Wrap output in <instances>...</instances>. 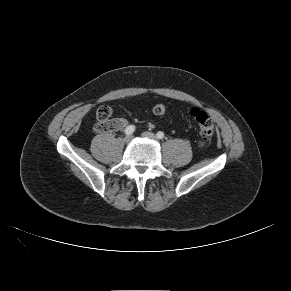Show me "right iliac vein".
<instances>
[{
    "label": "right iliac vein",
    "mask_w": 291,
    "mask_h": 291,
    "mask_svg": "<svg viewBox=\"0 0 291 291\" xmlns=\"http://www.w3.org/2000/svg\"><path fill=\"white\" fill-rule=\"evenodd\" d=\"M132 136L131 135H128V136H126L125 138H124V141H125V143H130L131 141H132Z\"/></svg>",
    "instance_id": "obj_1"
}]
</instances>
